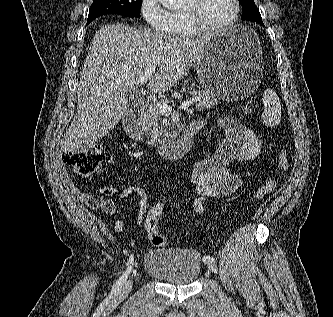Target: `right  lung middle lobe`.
Instances as JSON below:
<instances>
[{"mask_svg":"<svg viewBox=\"0 0 333 317\" xmlns=\"http://www.w3.org/2000/svg\"><path fill=\"white\" fill-rule=\"evenodd\" d=\"M141 3L142 0H94L89 9L87 24L104 14L139 17Z\"/></svg>","mask_w":333,"mask_h":317,"instance_id":"right-lung-middle-lobe-1","label":"right lung middle lobe"}]
</instances>
